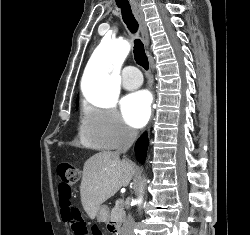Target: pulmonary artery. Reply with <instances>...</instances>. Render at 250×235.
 Returning a JSON list of instances; mask_svg holds the SVG:
<instances>
[{
    "instance_id": "obj_1",
    "label": "pulmonary artery",
    "mask_w": 250,
    "mask_h": 235,
    "mask_svg": "<svg viewBox=\"0 0 250 235\" xmlns=\"http://www.w3.org/2000/svg\"><path fill=\"white\" fill-rule=\"evenodd\" d=\"M143 80L141 74L134 66H127L122 73V86L125 89L133 90L141 86Z\"/></svg>"
}]
</instances>
